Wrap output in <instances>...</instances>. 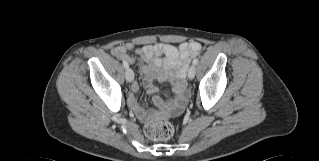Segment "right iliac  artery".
Here are the masks:
<instances>
[{
    "mask_svg": "<svg viewBox=\"0 0 319 161\" xmlns=\"http://www.w3.org/2000/svg\"><path fill=\"white\" fill-rule=\"evenodd\" d=\"M123 66H124L125 68H128V67H129V65H128V63H127L126 61H123Z\"/></svg>",
    "mask_w": 319,
    "mask_h": 161,
    "instance_id": "right-iliac-artery-1",
    "label": "right iliac artery"
}]
</instances>
